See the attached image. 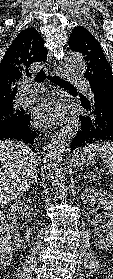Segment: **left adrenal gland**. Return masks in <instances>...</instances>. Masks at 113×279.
I'll use <instances>...</instances> for the list:
<instances>
[{"mask_svg": "<svg viewBox=\"0 0 113 279\" xmlns=\"http://www.w3.org/2000/svg\"><path fill=\"white\" fill-rule=\"evenodd\" d=\"M81 177L86 178V176H85V175L83 176V174H82L81 172H79V175H78V177H77V178H81Z\"/></svg>", "mask_w": 113, "mask_h": 279, "instance_id": "a2214340", "label": "left adrenal gland"}]
</instances>
